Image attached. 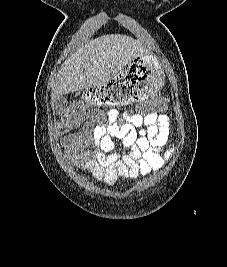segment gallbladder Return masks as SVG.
<instances>
[{"mask_svg": "<svg viewBox=\"0 0 227 267\" xmlns=\"http://www.w3.org/2000/svg\"><path fill=\"white\" fill-rule=\"evenodd\" d=\"M67 105V98L65 96H61L58 99L55 100L54 102V112L59 113L61 112L65 106Z\"/></svg>", "mask_w": 227, "mask_h": 267, "instance_id": "gallbladder-1", "label": "gallbladder"}]
</instances>
